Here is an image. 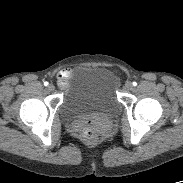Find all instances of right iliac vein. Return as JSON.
Returning <instances> with one entry per match:
<instances>
[{"mask_svg":"<svg viewBox=\"0 0 183 183\" xmlns=\"http://www.w3.org/2000/svg\"><path fill=\"white\" fill-rule=\"evenodd\" d=\"M55 89V86L53 84L48 85V90L53 91Z\"/></svg>","mask_w":183,"mask_h":183,"instance_id":"1","label":"right iliac vein"}]
</instances>
